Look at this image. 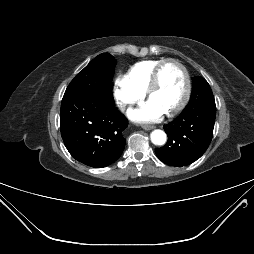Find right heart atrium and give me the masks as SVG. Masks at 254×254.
<instances>
[{
  "mask_svg": "<svg viewBox=\"0 0 254 254\" xmlns=\"http://www.w3.org/2000/svg\"><path fill=\"white\" fill-rule=\"evenodd\" d=\"M114 98L121 110L139 102L145 93L138 89L127 75H118L114 81Z\"/></svg>",
  "mask_w": 254,
  "mask_h": 254,
  "instance_id": "d8ad5b80",
  "label": "right heart atrium"
}]
</instances>
